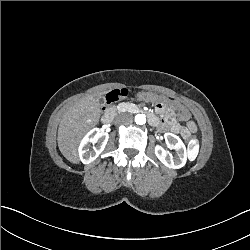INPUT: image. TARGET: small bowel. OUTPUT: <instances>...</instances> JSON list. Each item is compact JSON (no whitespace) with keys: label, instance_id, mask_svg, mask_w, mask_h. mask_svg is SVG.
<instances>
[{"label":"small bowel","instance_id":"small-bowel-1","mask_svg":"<svg viewBox=\"0 0 250 250\" xmlns=\"http://www.w3.org/2000/svg\"><path fill=\"white\" fill-rule=\"evenodd\" d=\"M159 107H161V106H159ZM161 109L164 111H167V114H169L172 111V109L169 106L168 107L163 106V107H161ZM175 114L182 121H189V119H190V113L185 108L175 107ZM149 120L153 123H156V124L167 125V126L173 128L175 131H179L181 129V127L177 123L169 121V120L164 119V118H159L158 116H156L154 114L149 115ZM188 127H189V130L192 132L196 130V126L192 122H189Z\"/></svg>","mask_w":250,"mask_h":250}]
</instances>
